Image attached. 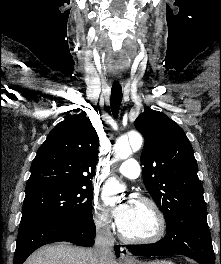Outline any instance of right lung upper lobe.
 I'll list each match as a JSON object with an SVG mask.
<instances>
[{
  "label": "right lung upper lobe",
  "mask_w": 221,
  "mask_h": 264,
  "mask_svg": "<svg viewBox=\"0 0 221 264\" xmlns=\"http://www.w3.org/2000/svg\"><path fill=\"white\" fill-rule=\"evenodd\" d=\"M99 138L89 118L71 115L56 125L39 147L26 189L47 184L91 186Z\"/></svg>",
  "instance_id": "right-lung-upper-lobe-1"
}]
</instances>
